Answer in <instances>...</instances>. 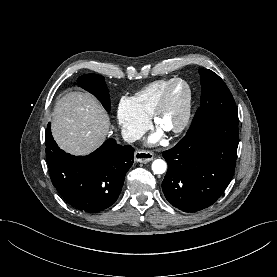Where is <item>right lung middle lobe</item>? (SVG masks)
<instances>
[{"mask_svg": "<svg viewBox=\"0 0 277 277\" xmlns=\"http://www.w3.org/2000/svg\"><path fill=\"white\" fill-rule=\"evenodd\" d=\"M79 87L92 93L101 102L103 107L109 112L111 109L109 90L104 81V77L97 74L82 75L78 78Z\"/></svg>", "mask_w": 277, "mask_h": 277, "instance_id": "dd1d6c3e", "label": "right lung middle lobe"}]
</instances>
